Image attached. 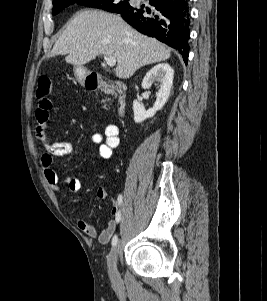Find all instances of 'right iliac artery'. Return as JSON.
Instances as JSON below:
<instances>
[{"label": "right iliac artery", "mask_w": 267, "mask_h": 301, "mask_svg": "<svg viewBox=\"0 0 267 301\" xmlns=\"http://www.w3.org/2000/svg\"><path fill=\"white\" fill-rule=\"evenodd\" d=\"M118 203H119V205H121V203H122V196L118 197ZM120 220H121V213L119 211L118 216L116 218L117 223H119ZM117 242H118V236L115 234L113 236V239H112V246H115L117 244Z\"/></svg>", "instance_id": "right-iliac-artery-1"}]
</instances>
